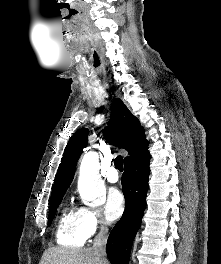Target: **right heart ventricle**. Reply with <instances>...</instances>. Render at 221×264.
I'll return each mask as SVG.
<instances>
[{"instance_id":"obj_1","label":"right heart ventricle","mask_w":221,"mask_h":264,"mask_svg":"<svg viewBox=\"0 0 221 264\" xmlns=\"http://www.w3.org/2000/svg\"><path fill=\"white\" fill-rule=\"evenodd\" d=\"M87 235L82 226L80 209L67 206L63 209L56 229V241L67 247L83 246Z\"/></svg>"}]
</instances>
